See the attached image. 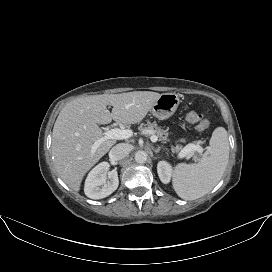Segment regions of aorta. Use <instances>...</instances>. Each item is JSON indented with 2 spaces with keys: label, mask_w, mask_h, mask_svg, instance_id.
Returning <instances> with one entry per match:
<instances>
[{
  "label": "aorta",
  "mask_w": 272,
  "mask_h": 272,
  "mask_svg": "<svg viewBox=\"0 0 272 272\" xmlns=\"http://www.w3.org/2000/svg\"><path fill=\"white\" fill-rule=\"evenodd\" d=\"M134 158L137 163H145L147 161L148 154L145 151L140 150L135 153Z\"/></svg>",
  "instance_id": "aorta-1"
}]
</instances>
